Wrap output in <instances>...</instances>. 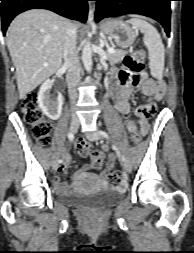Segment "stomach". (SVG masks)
<instances>
[{
	"label": "stomach",
	"instance_id": "stomach-1",
	"mask_svg": "<svg viewBox=\"0 0 194 253\" xmlns=\"http://www.w3.org/2000/svg\"><path fill=\"white\" fill-rule=\"evenodd\" d=\"M101 32L112 39L120 48L130 47L136 38V32L132 27L123 21L112 19L105 21L101 27Z\"/></svg>",
	"mask_w": 194,
	"mask_h": 253
}]
</instances>
